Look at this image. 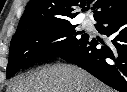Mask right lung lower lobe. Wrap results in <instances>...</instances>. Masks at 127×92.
I'll use <instances>...</instances> for the list:
<instances>
[{
  "mask_svg": "<svg viewBox=\"0 0 127 92\" xmlns=\"http://www.w3.org/2000/svg\"><path fill=\"white\" fill-rule=\"evenodd\" d=\"M96 21L97 30L110 37V41L88 36L76 49L60 57L87 70L110 87L127 92V9ZM99 44L102 46L97 48Z\"/></svg>",
  "mask_w": 127,
  "mask_h": 92,
  "instance_id": "98d812e1",
  "label": "right lung lower lobe"
}]
</instances>
